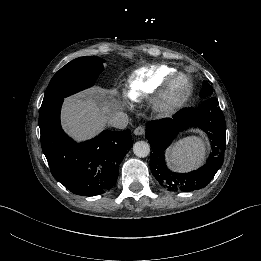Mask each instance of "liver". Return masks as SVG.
Segmentation results:
<instances>
[{"label":"liver","instance_id":"obj_1","mask_svg":"<svg viewBox=\"0 0 261 261\" xmlns=\"http://www.w3.org/2000/svg\"><path fill=\"white\" fill-rule=\"evenodd\" d=\"M116 94V89L94 86L66 98L61 115L65 132L76 141L99 134L120 109Z\"/></svg>","mask_w":261,"mask_h":261}]
</instances>
